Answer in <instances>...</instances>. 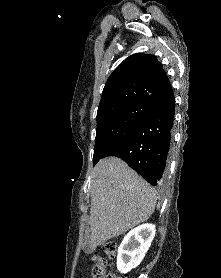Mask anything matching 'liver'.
Segmentation results:
<instances>
[{
  "label": "liver",
  "instance_id": "1",
  "mask_svg": "<svg viewBox=\"0 0 221 278\" xmlns=\"http://www.w3.org/2000/svg\"><path fill=\"white\" fill-rule=\"evenodd\" d=\"M90 205V249L148 220L156 191L123 160L102 159L93 170Z\"/></svg>",
  "mask_w": 221,
  "mask_h": 278
}]
</instances>
